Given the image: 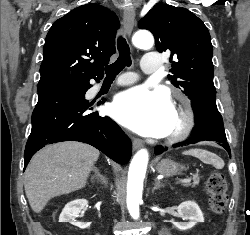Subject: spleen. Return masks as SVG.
I'll return each mask as SVG.
<instances>
[{"label":"spleen","mask_w":250,"mask_h":235,"mask_svg":"<svg viewBox=\"0 0 250 235\" xmlns=\"http://www.w3.org/2000/svg\"><path fill=\"white\" fill-rule=\"evenodd\" d=\"M184 154L192 155L200 159L204 163L212 164L217 169H222L224 167V161L218 157L216 154H213L207 150L202 149H191L185 151Z\"/></svg>","instance_id":"3e777b00"}]
</instances>
